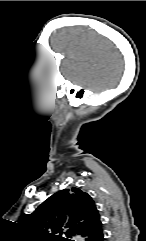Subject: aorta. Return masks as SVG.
I'll use <instances>...</instances> for the list:
<instances>
[{"label": "aorta", "mask_w": 146, "mask_h": 241, "mask_svg": "<svg viewBox=\"0 0 146 241\" xmlns=\"http://www.w3.org/2000/svg\"><path fill=\"white\" fill-rule=\"evenodd\" d=\"M76 241H84L81 237L77 236Z\"/></svg>", "instance_id": "obj_1"}]
</instances>
